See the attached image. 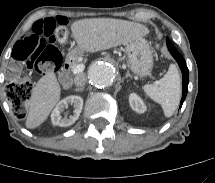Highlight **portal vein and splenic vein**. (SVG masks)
Instances as JSON below:
<instances>
[{"mask_svg": "<svg viewBox=\"0 0 215 183\" xmlns=\"http://www.w3.org/2000/svg\"><path fill=\"white\" fill-rule=\"evenodd\" d=\"M84 68H85L84 64H78L73 68L72 72L73 74H79L83 72Z\"/></svg>", "mask_w": 215, "mask_h": 183, "instance_id": "18ae733b", "label": "portal vein and splenic vein"}]
</instances>
